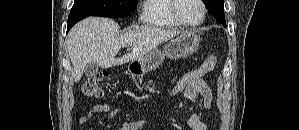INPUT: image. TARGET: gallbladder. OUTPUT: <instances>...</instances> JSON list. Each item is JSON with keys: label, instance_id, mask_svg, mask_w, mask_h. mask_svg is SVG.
Returning <instances> with one entry per match:
<instances>
[{"label": "gallbladder", "instance_id": "gallbladder-1", "mask_svg": "<svg viewBox=\"0 0 299 130\" xmlns=\"http://www.w3.org/2000/svg\"><path fill=\"white\" fill-rule=\"evenodd\" d=\"M99 66L94 62H89L84 68V74L87 77H93L98 72Z\"/></svg>", "mask_w": 299, "mask_h": 130}]
</instances>
